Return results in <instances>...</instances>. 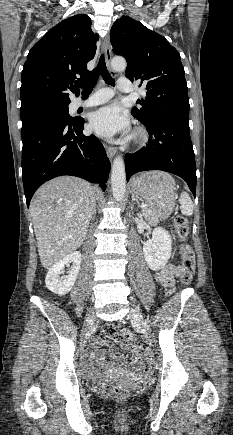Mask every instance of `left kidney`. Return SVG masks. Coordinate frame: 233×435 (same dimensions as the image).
<instances>
[{
  "mask_svg": "<svg viewBox=\"0 0 233 435\" xmlns=\"http://www.w3.org/2000/svg\"><path fill=\"white\" fill-rule=\"evenodd\" d=\"M172 251V239L170 234L163 228H155L152 239L143 245L145 261L151 270L162 269L168 262Z\"/></svg>",
  "mask_w": 233,
  "mask_h": 435,
  "instance_id": "obj_1",
  "label": "left kidney"
}]
</instances>
